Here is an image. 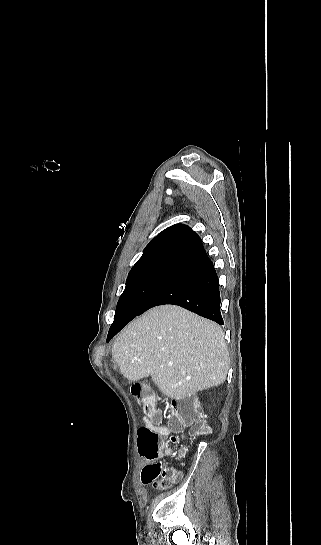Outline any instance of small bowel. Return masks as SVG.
I'll list each match as a JSON object with an SVG mask.
<instances>
[{
	"mask_svg": "<svg viewBox=\"0 0 321 545\" xmlns=\"http://www.w3.org/2000/svg\"><path fill=\"white\" fill-rule=\"evenodd\" d=\"M142 422L145 426H148L151 428L154 432L161 435L162 437H167L172 433V430L168 428L165 425L160 424L158 421H152L148 417H143ZM172 450L167 444H163L162 446V452L161 455L169 456L171 455ZM162 468V464L160 462H156L154 460H149L147 464L144 466L141 472V482L143 484H148L151 482V476L153 473H158L159 470ZM181 477L180 472H178V479Z\"/></svg>",
	"mask_w": 321,
	"mask_h": 545,
	"instance_id": "c3829d8e",
	"label": "small bowel"
}]
</instances>
